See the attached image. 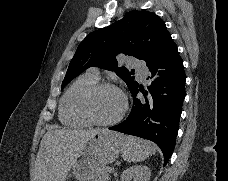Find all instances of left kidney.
<instances>
[{"label":"left kidney","instance_id":"5707ae66","mask_svg":"<svg viewBox=\"0 0 228 181\" xmlns=\"http://www.w3.org/2000/svg\"><path fill=\"white\" fill-rule=\"evenodd\" d=\"M151 171L145 165H134L123 171L121 181H150Z\"/></svg>","mask_w":228,"mask_h":181}]
</instances>
